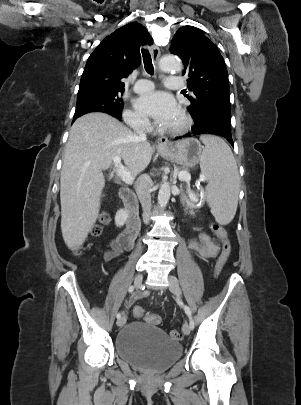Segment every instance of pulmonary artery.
Here are the masks:
<instances>
[{
  "label": "pulmonary artery",
  "mask_w": 301,
  "mask_h": 405,
  "mask_svg": "<svg viewBox=\"0 0 301 405\" xmlns=\"http://www.w3.org/2000/svg\"><path fill=\"white\" fill-rule=\"evenodd\" d=\"M166 87L170 89H183L185 87V82L181 77L169 76L165 82ZM154 89V84L152 81L147 79H140L135 83L134 91L137 93H146Z\"/></svg>",
  "instance_id": "e3ab8cb5"
}]
</instances>
